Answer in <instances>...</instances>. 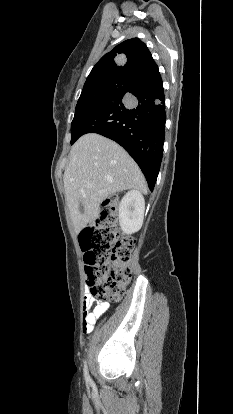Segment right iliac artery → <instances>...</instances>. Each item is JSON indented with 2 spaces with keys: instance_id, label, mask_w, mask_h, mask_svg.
<instances>
[{
  "instance_id": "obj_1",
  "label": "right iliac artery",
  "mask_w": 233,
  "mask_h": 414,
  "mask_svg": "<svg viewBox=\"0 0 233 414\" xmlns=\"http://www.w3.org/2000/svg\"><path fill=\"white\" fill-rule=\"evenodd\" d=\"M84 376H85V380L87 381V382H89L91 379H90V376H89V373H88V369H87V364H86V362H85V365H84Z\"/></svg>"
}]
</instances>
